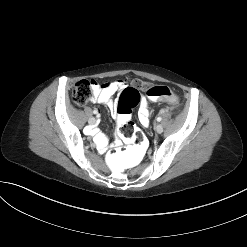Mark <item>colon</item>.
<instances>
[{"mask_svg": "<svg viewBox=\"0 0 247 247\" xmlns=\"http://www.w3.org/2000/svg\"><path fill=\"white\" fill-rule=\"evenodd\" d=\"M139 90H146L151 100L175 101V95L163 85L151 86L141 80H133L131 85L125 88L117 102L118 134L127 142L123 149L112 148L105 152L103 160L107 167L116 172H123L141 163L146 156L149 145L147 137L138 130L130 120L132 109L140 101ZM93 81L81 80L73 88L72 96L78 105L86 104L92 97Z\"/></svg>", "mask_w": 247, "mask_h": 247, "instance_id": "5ec220e1", "label": "colon"}]
</instances>
